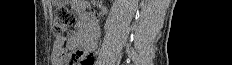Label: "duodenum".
Masks as SVG:
<instances>
[{
  "instance_id": "410a0bca",
  "label": "duodenum",
  "mask_w": 232,
  "mask_h": 65,
  "mask_svg": "<svg viewBox=\"0 0 232 65\" xmlns=\"http://www.w3.org/2000/svg\"><path fill=\"white\" fill-rule=\"evenodd\" d=\"M76 9L80 15L81 25L90 40H97L99 26L94 13L81 1L76 2Z\"/></svg>"
}]
</instances>
